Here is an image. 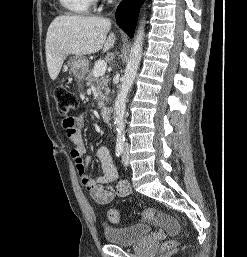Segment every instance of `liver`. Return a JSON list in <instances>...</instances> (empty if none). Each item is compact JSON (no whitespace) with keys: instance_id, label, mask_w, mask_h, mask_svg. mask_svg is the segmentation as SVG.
Masks as SVG:
<instances>
[{"instance_id":"1","label":"liver","mask_w":247,"mask_h":257,"mask_svg":"<svg viewBox=\"0 0 247 257\" xmlns=\"http://www.w3.org/2000/svg\"><path fill=\"white\" fill-rule=\"evenodd\" d=\"M111 21L103 17L60 15L50 24L46 35V62L49 76L55 80L69 54L89 55L115 44V34L110 33Z\"/></svg>"}]
</instances>
